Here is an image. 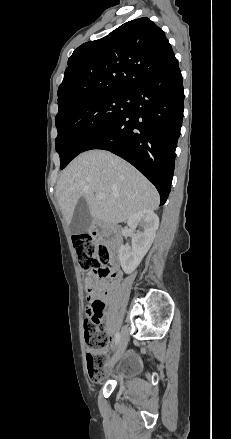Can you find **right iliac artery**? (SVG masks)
Listing matches in <instances>:
<instances>
[{"label": "right iliac artery", "mask_w": 231, "mask_h": 439, "mask_svg": "<svg viewBox=\"0 0 231 439\" xmlns=\"http://www.w3.org/2000/svg\"><path fill=\"white\" fill-rule=\"evenodd\" d=\"M119 340H120V334L117 333V334L115 335V345H117V344L119 343Z\"/></svg>", "instance_id": "right-iliac-artery-1"}]
</instances>
